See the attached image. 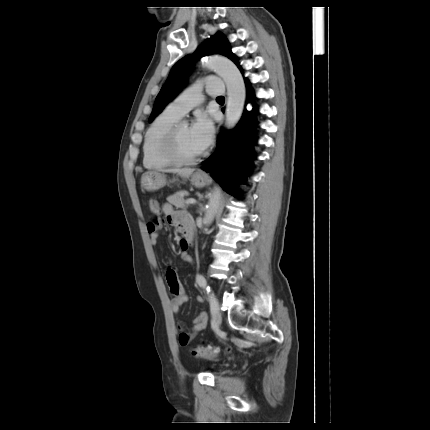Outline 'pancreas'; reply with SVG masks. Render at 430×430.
<instances>
[{
	"mask_svg": "<svg viewBox=\"0 0 430 430\" xmlns=\"http://www.w3.org/2000/svg\"><path fill=\"white\" fill-rule=\"evenodd\" d=\"M188 194V191L180 190L177 191L175 194L168 196L167 201L176 206L177 208H185L187 203L183 197Z\"/></svg>",
	"mask_w": 430,
	"mask_h": 430,
	"instance_id": "pancreas-1",
	"label": "pancreas"
}]
</instances>
